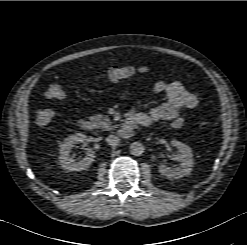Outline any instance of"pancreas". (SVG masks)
<instances>
[{
    "mask_svg": "<svg viewBox=\"0 0 247 245\" xmlns=\"http://www.w3.org/2000/svg\"><path fill=\"white\" fill-rule=\"evenodd\" d=\"M90 119L93 121L96 128H101L103 130H112L115 128V125L112 124L108 116L97 114L90 117Z\"/></svg>",
    "mask_w": 247,
    "mask_h": 245,
    "instance_id": "cf45deb5",
    "label": "pancreas"
}]
</instances>
